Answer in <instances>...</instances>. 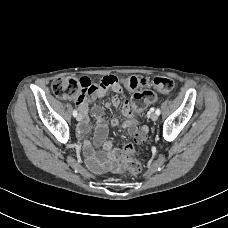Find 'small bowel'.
<instances>
[{
    "instance_id": "small-bowel-1",
    "label": "small bowel",
    "mask_w": 228,
    "mask_h": 228,
    "mask_svg": "<svg viewBox=\"0 0 228 228\" xmlns=\"http://www.w3.org/2000/svg\"><path fill=\"white\" fill-rule=\"evenodd\" d=\"M114 94L111 96L110 101L105 102L104 106L109 108L111 106L118 108L120 105L119 93H122V88L120 85L113 86ZM105 94V90H99L94 93H87L81 97L76 98V105L82 116L80 125L78 126L79 133H86L89 130V113H88V103L92 102L98 98H102ZM92 115L96 119V129H95V144L103 145L104 148V157L105 162L109 165L114 171H120L121 165L118 160L121 157L119 150L114 147L112 142L105 141L106 136L108 135V129L106 122L103 117V108L98 105H94L91 109ZM123 114L128 117V120L123 123V127L127 129L128 133L133 136L134 140L137 143H142L147 138V127L140 124L139 120L134 116V113L131 108V100L126 99L123 108ZM119 121L113 119L111 125L113 127L117 126ZM89 148V145H87Z\"/></svg>"
}]
</instances>
